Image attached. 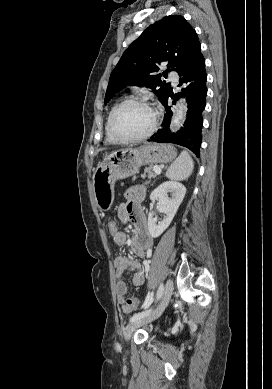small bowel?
I'll return each instance as SVG.
<instances>
[{
    "mask_svg": "<svg viewBox=\"0 0 272 389\" xmlns=\"http://www.w3.org/2000/svg\"><path fill=\"white\" fill-rule=\"evenodd\" d=\"M126 201L118 207L117 216L121 224L130 222L133 226V236L130 240L124 231H119L113 236L117 245L128 243L131 251L140 258H147L150 255L153 240L149 233L145 216L141 210V203L145 198V189L142 186H132L125 193ZM115 268L117 271V282L115 285L116 299L122 306L125 313L132 311L126 305L125 295L127 292L126 283L122 276L126 272H133L132 283L135 286H141L145 281V272L142 264L130 257H117L115 259Z\"/></svg>",
    "mask_w": 272,
    "mask_h": 389,
    "instance_id": "1",
    "label": "small bowel"
}]
</instances>
